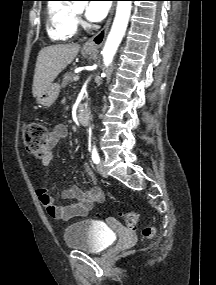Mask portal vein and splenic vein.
Here are the masks:
<instances>
[{"mask_svg":"<svg viewBox=\"0 0 216 285\" xmlns=\"http://www.w3.org/2000/svg\"><path fill=\"white\" fill-rule=\"evenodd\" d=\"M80 77L79 76H75L74 77V81H79Z\"/></svg>","mask_w":216,"mask_h":285,"instance_id":"portal-vein-and-splenic-vein-1","label":"portal vein and splenic vein"}]
</instances>
